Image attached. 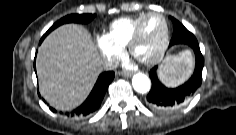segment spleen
<instances>
[{
	"mask_svg": "<svg viewBox=\"0 0 236 135\" xmlns=\"http://www.w3.org/2000/svg\"><path fill=\"white\" fill-rule=\"evenodd\" d=\"M193 67L192 52L184 50L177 55L166 57L159 70V77L165 85L175 87L188 79L193 72Z\"/></svg>",
	"mask_w": 236,
	"mask_h": 135,
	"instance_id": "1",
	"label": "spleen"
}]
</instances>
